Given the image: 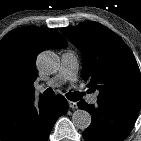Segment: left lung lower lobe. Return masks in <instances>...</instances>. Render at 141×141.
I'll return each mask as SVG.
<instances>
[{
  "label": "left lung lower lobe",
  "mask_w": 141,
  "mask_h": 141,
  "mask_svg": "<svg viewBox=\"0 0 141 141\" xmlns=\"http://www.w3.org/2000/svg\"><path fill=\"white\" fill-rule=\"evenodd\" d=\"M96 106L78 102L80 109L92 116L91 125L83 132L86 141H123L131 132L139 108L118 107L97 101Z\"/></svg>",
  "instance_id": "1"
}]
</instances>
